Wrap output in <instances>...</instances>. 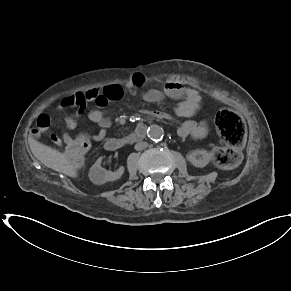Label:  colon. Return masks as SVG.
Listing matches in <instances>:
<instances>
[{
	"instance_id": "obj_1",
	"label": "colon",
	"mask_w": 291,
	"mask_h": 291,
	"mask_svg": "<svg viewBox=\"0 0 291 291\" xmlns=\"http://www.w3.org/2000/svg\"><path fill=\"white\" fill-rule=\"evenodd\" d=\"M61 107L75 104L74 95L63 97L59 103ZM217 130L226 143V147H216L212 156L214 162L221 167L235 165L240 157V148L246 136V127L241 117L232 110L222 109L215 118ZM56 136L52 135L53 140ZM89 148V138L85 134H79L71 139L67 145V152L74 163H79Z\"/></svg>"
}]
</instances>
